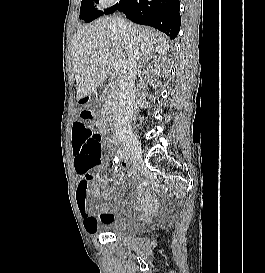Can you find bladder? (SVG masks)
<instances>
[{"label":"bladder","instance_id":"bladder-1","mask_svg":"<svg viewBox=\"0 0 265 273\" xmlns=\"http://www.w3.org/2000/svg\"><path fill=\"white\" fill-rule=\"evenodd\" d=\"M142 221L134 215H118L104 224L102 229L115 236L135 235L139 232Z\"/></svg>","mask_w":265,"mask_h":273}]
</instances>
